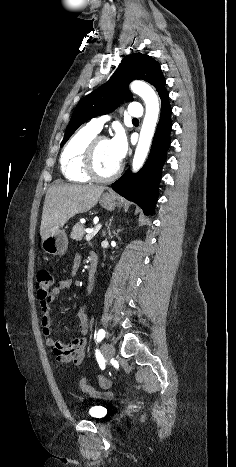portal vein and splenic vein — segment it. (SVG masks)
I'll list each match as a JSON object with an SVG mask.
<instances>
[{
	"instance_id": "1",
	"label": "portal vein and splenic vein",
	"mask_w": 236,
	"mask_h": 467,
	"mask_svg": "<svg viewBox=\"0 0 236 467\" xmlns=\"http://www.w3.org/2000/svg\"><path fill=\"white\" fill-rule=\"evenodd\" d=\"M100 228H101V225L98 224L94 229H89V230L87 231V235H86L85 239H86L87 241L91 240V239L98 233V231L100 230Z\"/></svg>"
}]
</instances>
